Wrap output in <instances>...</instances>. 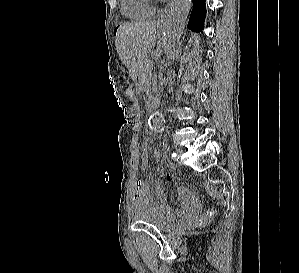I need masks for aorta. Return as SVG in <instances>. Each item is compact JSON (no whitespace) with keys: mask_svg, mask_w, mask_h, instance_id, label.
<instances>
[{"mask_svg":"<svg viewBox=\"0 0 299 273\" xmlns=\"http://www.w3.org/2000/svg\"><path fill=\"white\" fill-rule=\"evenodd\" d=\"M190 7L191 0H173L170 5L163 40V49L167 58L176 51ZM148 125L153 131L162 132L164 129L162 114L158 111L151 113Z\"/></svg>","mask_w":299,"mask_h":273,"instance_id":"obj_1","label":"aorta"}]
</instances>
